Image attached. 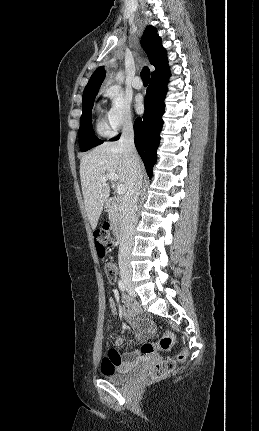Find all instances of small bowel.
Masks as SVG:
<instances>
[{"label":"small bowel","instance_id":"1","mask_svg":"<svg viewBox=\"0 0 259 431\" xmlns=\"http://www.w3.org/2000/svg\"><path fill=\"white\" fill-rule=\"evenodd\" d=\"M123 301L126 303L128 302L126 298H124ZM107 304L109 306L111 315L113 317H116L117 307H116L115 300L112 297H110L107 300ZM122 314L126 317L130 326L136 331H150L152 329V325L147 319L136 318L137 310L135 308H131L128 306L122 310ZM126 339H127L126 336H122L116 339L115 344L119 346L123 344L126 341ZM137 356H138V353L136 350H131L127 352L125 355H122L115 348L109 349L102 359L101 370L103 373L113 371L117 367L127 364V362L130 359L136 358Z\"/></svg>","mask_w":259,"mask_h":431}]
</instances>
